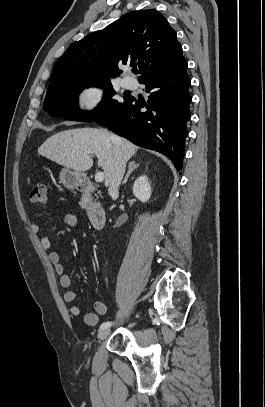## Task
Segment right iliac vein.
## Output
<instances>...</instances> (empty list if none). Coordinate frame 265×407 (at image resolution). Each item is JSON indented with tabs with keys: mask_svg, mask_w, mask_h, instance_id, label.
<instances>
[{
	"mask_svg": "<svg viewBox=\"0 0 265 407\" xmlns=\"http://www.w3.org/2000/svg\"><path fill=\"white\" fill-rule=\"evenodd\" d=\"M109 329H102L98 333L99 340H104L109 335Z\"/></svg>",
	"mask_w": 265,
	"mask_h": 407,
	"instance_id": "1",
	"label": "right iliac vein"
}]
</instances>
